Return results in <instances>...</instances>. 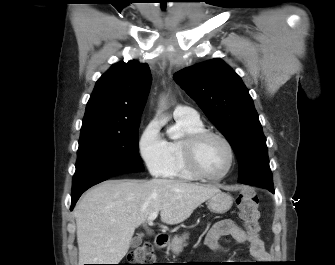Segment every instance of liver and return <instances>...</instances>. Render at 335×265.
Listing matches in <instances>:
<instances>
[{
    "label": "liver",
    "mask_w": 335,
    "mask_h": 265,
    "mask_svg": "<svg viewBox=\"0 0 335 265\" xmlns=\"http://www.w3.org/2000/svg\"><path fill=\"white\" fill-rule=\"evenodd\" d=\"M220 189L177 180H108L89 190L74 210L79 264H118L134 231L149 215L179 224Z\"/></svg>",
    "instance_id": "obj_1"
}]
</instances>
